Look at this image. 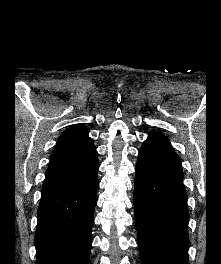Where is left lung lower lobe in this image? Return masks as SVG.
Segmentation results:
<instances>
[{
    "label": "left lung lower lobe",
    "mask_w": 221,
    "mask_h": 264,
    "mask_svg": "<svg viewBox=\"0 0 221 264\" xmlns=\"http://www.w3.org/2000/svg\"><path fill=\"white\" fill-rule=\"evenodd\" d=\"M134 208L142 264H189L181 160L157 141L146 140L139 150Z\"/></svg>",
    "instance_id": "1"
}]
</instances>
